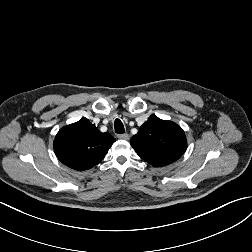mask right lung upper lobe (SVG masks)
I'll return each mask as SVG.
<instances>
[{"instance_id":"1","label":"right lung upper lobe","mask_w":252,"mask_h":252,"mask_svg":"<svg viewBox=\"0 0 252 252\" xmlns=\"http://www.w3.org/2000/svg\"><path fill=\"white\" fill-rule=\"evenodd\" d=\"M115 142L109 133L83 118L59 130L54 140V151L66 166L83 171L97 165Z\"/></svg>"}]
</instances>
